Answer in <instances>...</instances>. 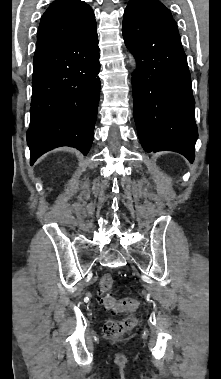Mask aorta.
Instances as JSON below:
<instances>
[{
    "label": "aorta",
    "instance_id": "aorta-1",
    "mask_svg": "<svg viewBox=\"0 0 221 379\" xmlns=\"http://www.w3.org/2000/svg\"><path fill=\"white\" fill-rule=\"evenodd\" d=\"M130 58H131V61L134 63L133 58L132 57H130Z\"/></svg>",
    "mask_w": 221,
    "mask_h": 379
}]
</instances>
